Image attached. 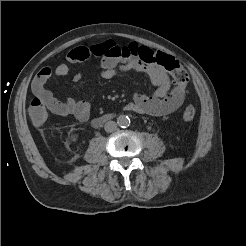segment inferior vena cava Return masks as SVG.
<instances>
[{
    "label": "inferior vena cava",
    "mask_w": 246,
    "mask_h": 246,
    "mask_svg": "<svg viewBox=\"0 0 246 246\" xmlns=\"http://www.w3.org/2000/svg\"><path fill=\"white\" fill-rule=\"evenodd\" d=\"M104 129L106 132H113L117 129V124L114 121H108L105 123Z\"/></svg>",
    "instance_id": "obj_1"
}]
</instances>
